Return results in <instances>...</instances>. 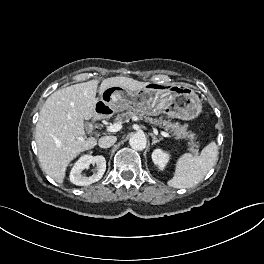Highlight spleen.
Wrapping results in <instances>:
<instances>
[{
  "label": "spleen",
  "instance_id": "obj_1",
  "mask_svg": "<svg viewBox=\"0 0 264 264\" xmlns=\"http://www.w3.org/2000/svg\"><path fill=\"white\" fill-rule=\"evenodd\" d=\"M217 160L218 149L215 142L205 146L199 156L183 154L176 162L174 176L168 181V185L177 189L197 185Z\"/></svg>",
  "mask_w": 264,
  "mask_h": 264
}]
</instances>
